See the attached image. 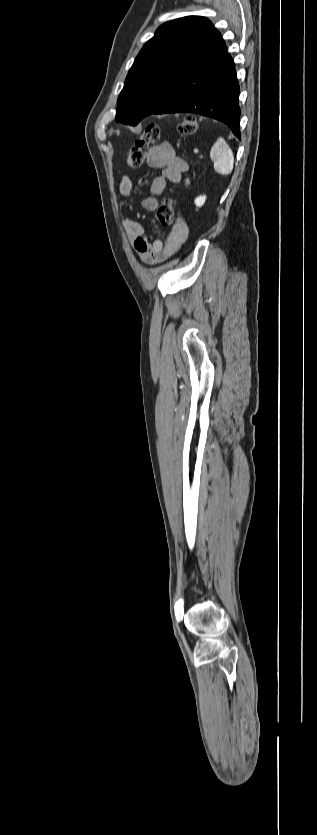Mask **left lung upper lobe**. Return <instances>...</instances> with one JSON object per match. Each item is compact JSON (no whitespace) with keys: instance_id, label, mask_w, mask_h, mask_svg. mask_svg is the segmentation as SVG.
Listing matches in <instances>:
<instances>
[{"instance_id":"5c2ea615","label":"left lung upper lobe","mask_w":317,"mask_h":835,"mask_svg":"<svg viewBox=\"0 0 317 835\" xmlns=\"http://www.w3.org/2000/svg\"><path fill=\"white\" fill-rule=\"evenodd\" d=\"M216 32L201 16L161 25L128 72L117 101L116 121L136 125L161 106Z\"/></svg>"}]
</instances>
